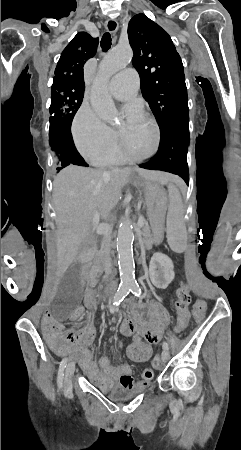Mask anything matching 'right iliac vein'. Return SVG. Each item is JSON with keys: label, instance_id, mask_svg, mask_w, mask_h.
Wrapping results in <instances>:
<instances>
[{"label": "right iliac vein", "instance_id": "obj_1", "mask_svg": "<svg viewBox=\"0 0 241 450\" xmlns=\"http://www.w3.org/2000/svg\"><path fill=\"white\" fill-rule=\"evenodd\" d=\"M74 364L70 363L68 365V368L66 370V375H65V379H64V390L66 392V394H70L71 390H72V375H73V371H74Z\"/></svg>", "mask_w": 241, "mask_h": 450}]
</instances>
